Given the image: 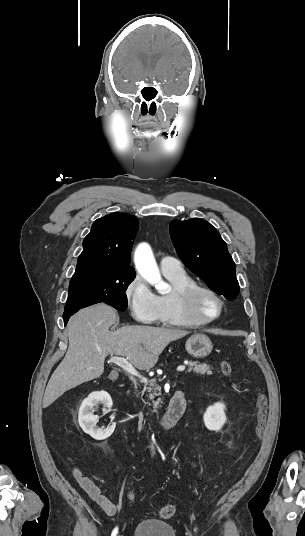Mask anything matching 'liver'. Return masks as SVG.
I'll use <instances>...</instances> for the list:
<instances>
[{
	"label": "liver",
	"instance_id": "liver-1",
	"mask_svg": "<svg viewBox=\"0 0 305 536\" xmlns=\"http://www.w3.org/2000/svg\"><path fill=\"white\" fill-rule=\"evenodd\" d=\"M115 322L116 314L106 304L84 308L69 320V348L48 382L43 408H48L67 390L100 378L108 354L126 356L134 368L150 370L169 342L190 334L178 328L152 326H123L109 332Z\"/></svg>",
	"mask_w": 305,
	"mask_h": 536
}]
</instances>
